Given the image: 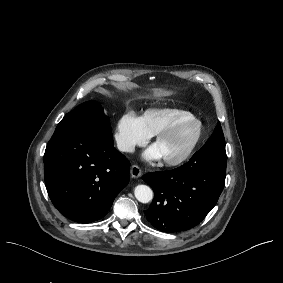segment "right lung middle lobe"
I'll return each instance as SVG.
<instances>
[{"label":"right lung middle lobe","mask_w":283,"mask_h":283,"mask_svg":"<svg viewBox=\"0 0 283 283\" xmlns=\"http://www.w3.org/2000/svg\"><path fill=\"white\" fill-rule=\"evenodd\" d=\"M64 129L92 132L101 136L112 135L110 119L95 101L84 102L66 114L55 131Z\"/></svg>","instance_id":"dd1d6c3e"}]
</instances>
